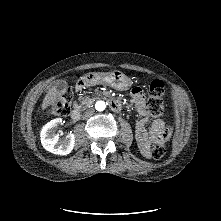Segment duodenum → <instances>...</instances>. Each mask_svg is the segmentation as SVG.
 <instances>
[{"instance_id":"410a0bca","label":"duodenum","mask_w":221,"mask_h":221,"mask_svg":"<svg viewBox=\"0 0 221 221\" xmlns=\"http://www.w3.org/2000/svg\"><path fill=\"white\" fill-rule=\"evenodd\" d=\"M88 84V80L87 79H82L80 82H79V85H78V89H82L83 87H85L86 85ZM107 100H108V103H109V106L111 108V110L115 111V112H119L123 109V104L121 103V101L115 99V98H112L110 96H106ZM81 116V111H80V108L78 107H75L72 111H71V118L73 120H78Z\"/></svg>"}]
</instances>
